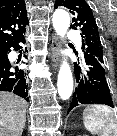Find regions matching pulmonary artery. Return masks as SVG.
<instances>
[{
  "label": "pulmonary artery",
  "instance_id": "e3ab8cb5",
  "mask_svg": "<svg viewBox=\"0 0 117 136\" xmlns=\"http://www.w3.org/2000/svg\"><path fill=\"white\" fill-rule=\"evenodd\" d=\"M68 37L71 38L72 40H74V42L78 45V46H81V37L76 34L75 32L73 31H70L69 34H68Z\"/></svg>",
  "mask_w": 117,
  "mask_h": 136
}]
</instances>
